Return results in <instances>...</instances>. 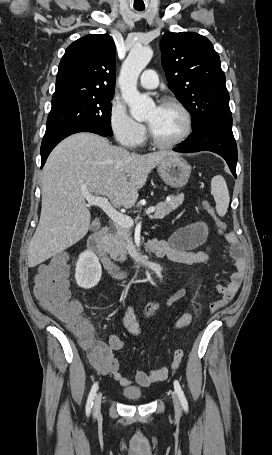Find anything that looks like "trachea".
I'll use <instances>...</instances> for the list:
<instances>
[{"label":"trachea","instance_id":"obj_1","mask_svg":"<svg viewBox=\"0 0 272 455\" xmlns=\"http://www.w3.org/2000/svg\"><path fill=\"white\" fill-rule=\"evenodd\" d=\"M135 9L138 10V11H143L144 10V8H135Z\"/></svg>","mask_w":272,"mask_h":455}]
</instances>
